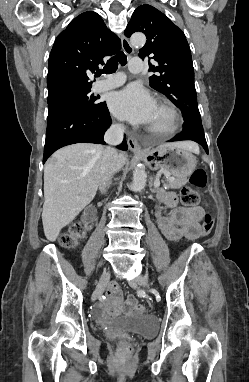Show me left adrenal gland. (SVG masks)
Returning <instances> with one entry per match:
<instances>
[{
	"label": "left adrenal gland",
	"instance_id": "1",
	"mask_svg": "<svg viewBox=\"0 0 249 382\" xmlns=\"http://www.w3.org/2000/svg\"><path fill=\"white\" fill-rule=\"evenodd\" d=\"M149 187H150V191H151L152 193H154L155 190L152 188V177H151V182H150V184H149Z\"/></svg>",
	"mask_w": 249,
	"mask_h": 382
}]
</instances>
